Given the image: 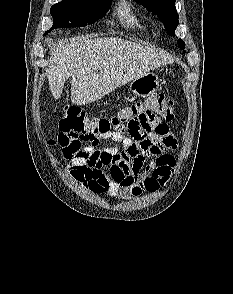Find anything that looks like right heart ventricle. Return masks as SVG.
I'll use <instances>...</instances> for the list:
<instances>
[{
  "label": "right heart ventricle",
  "instance_id": "right-heart-ventricle-1",
  "mask_svg": "<svg viewBox=\"0 0 233 294\" xmlns=\"http://www.w3.org/2000/svg\"><path fill=\"white\" fill-rule=\"evenodd\" d=\"M117 16L121 23L127 27L143 29L146 26L143 18L139 16L126 1H122L118 5Z\"/></svg>",
  "mask_w": 233,
  "mask_h": 294
}]
</instances>
